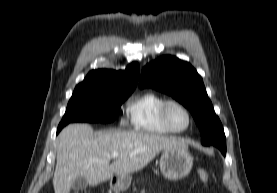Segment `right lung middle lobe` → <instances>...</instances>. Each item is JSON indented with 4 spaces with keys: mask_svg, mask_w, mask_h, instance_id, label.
Listing matches in <instances>:
<instances>
[{
    "mask_svg": "<svg viewBox=\"0 0 277 193\" xmlns=\"http://www.w3.org/2000/svg\"><path fill=\"white\" fill-rule=\"evenodd\" d=\"M131 92H99L75 89L59 125L71 122H112Z\"/></svg>",
    "mask_w": 277,
    "mask_h": 193,
    "instance_id": "1",
    "label": "right lung middle lobe"
}]
</instances>
